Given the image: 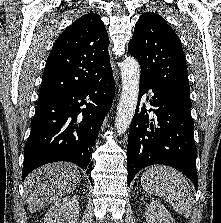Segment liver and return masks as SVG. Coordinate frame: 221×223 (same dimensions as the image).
I'll return each instance as SVG.
<instances>
[{
  "label": "liver",
  "instance_id": "liver-1",
  "mask_svg": "<svg viewBox=\"0 0 221 223\" xmlns=\"http://www.w3.org/2000/svg\"><path fill=\"white\" fill-rule=\"evenodd\" d=\"M77 167L56 162L31 172L24 182V194L30 212H37L62 196L70 194L80 183Z\"/></svg>",
  "mask_w": 221,
  "mask_h": 223
}]
</instances>
